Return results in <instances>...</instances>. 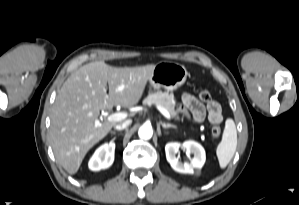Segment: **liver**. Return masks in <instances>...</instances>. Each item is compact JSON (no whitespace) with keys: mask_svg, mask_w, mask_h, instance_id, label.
<instances>
[{"mask_svg":"<svg viewBox=\"0 0 299 205\" xmlns=\"http://www.w3.org/2000/svg\"><path fill=\"white\" fill-rule=\"evenodd\" d=\"M154 67H113L95 61L64 82L54 103L49 137L56 160L69 174L78 171L86 153L115 125L100 122V111L136 105Z\"/></svg>","mask_w":299,"mask_h":205,"instance_id":"liver-1","label":"liver"}]
</instances>
